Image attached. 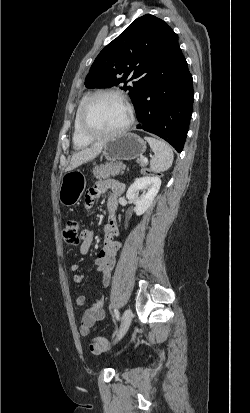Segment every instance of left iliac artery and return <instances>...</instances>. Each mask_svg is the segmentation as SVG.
Returning <instances> with one entry per match:
<instances>
[{
    "instance_id": "1",
    "label": "left iliac artery",
    "mask_w": 250,
    "mask_h": 413,
    "mask_svg": "<svg viewBox=\"0 0 250 413\" xmlns=\"http://www.w3.org/2000/svg\"><path fill=\"white\" fill-rule=\"evenodd\" d=\"M114 314H115L116 319L118 320L119 319V311L116 308L114 309Z\"/></svg>"
}]
</instances>
